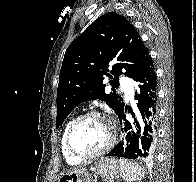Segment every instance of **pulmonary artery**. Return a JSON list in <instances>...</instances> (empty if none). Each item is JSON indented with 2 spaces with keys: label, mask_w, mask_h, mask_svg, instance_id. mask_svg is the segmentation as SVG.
<instances>
[{
  "label": "pulmonary artery",
  "mask_w": 196,
  "mask_h": 182,
  "mask_svg": "<svg viewBox=\"0 0 196 182\" xmlns=\"http://www.w3.org/2000/svg\"><path fill=\"white\" fill-rule=\"evenodd\" d=\"M130 84V81L127 78L123 79V90L125 92L127 99L133 98V90L130 87H127V85Z\"/></svg>",
  "instance_id": "pulmonary-artery-1"
}]
</instances>
